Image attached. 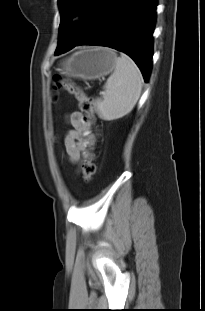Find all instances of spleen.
Here are the masks:
<instances>
[{
    "label": "spleen",
    "instance_id": "spleen-1",
    "mask_svg": "<svg viewBox=\"0 0 205 311\" xmlns=\"http://www.w3.org/2000/svg\"><path fill=\"white\" fill-rule=\"evenodd\" d=\"M115 64L104 85L105 95L94 102L98 115L107 121L129 114L140 98L143 85L142 74L129 56L121 53Z\"/></svg>",
    "mask_w": 205,
    "mask_h": 311
}]
</instances>
